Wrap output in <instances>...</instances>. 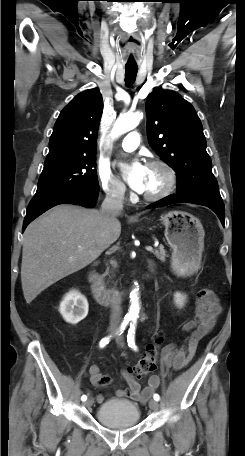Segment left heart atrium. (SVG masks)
I'll return each mask as SVG.
<instances>
[{"label": "left heart atrium", "instance_id": "39dd6f15", "mask_svg": "<svg viewBox=\"0 0 245 456\" xmlns=\"http://www.w3.org/2000/svg\"><path fill=\"white\" fill-rule=\"evenodd\" d=\"M146 166L138 161L123 165L122 170L125 178L132 189L142 193L145 187Z\"/></svg>", "mask_w": 245, "mask_h": 456}]
</instances>
